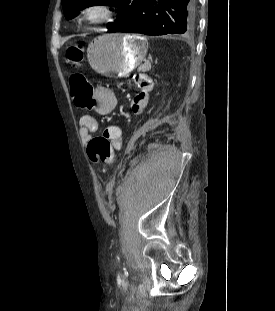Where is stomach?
Listing matches in <instances>:
<instances>
[{
	"mask_svg": "<svg viewBox=\"0 0 275 311\" xmlns=\"http://www.w3.org/2000/svg\"><path fill=\"white\" fill-rule=\"evenodd\" d=\"M148 50L145 37L136 34H106L88 46L87 58L97 73L108 77H124L138 67Z\"/></svg>",
	"mask_w": 275,
	"mask_h": 311,
	"instance_id": "obj_1",
	"label": "stomach"
}]
</instances>
